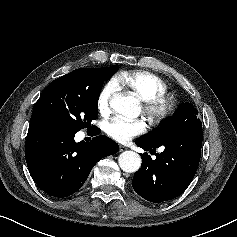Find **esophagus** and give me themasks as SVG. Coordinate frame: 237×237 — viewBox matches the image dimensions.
Returning <instances> with one entry per match:
<instances>
[{
  "label": "esophagus",
  "instance_id": "esophagus-1",
  "mask_svg": "<svg viewBox=\"0 0 237 237\" xmlns=\"http://www.w3.org/2000/svg\"><path fill=\"white\" fill-rule=\"evenodd\" d=\"M126 149H127L126 146H124V145H119V150H120V152H123V151H125Z\"/></svg>",
  "mask_w": 237,
  "mask_h": 237
}]
</instances>
